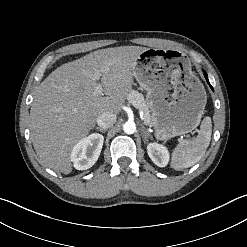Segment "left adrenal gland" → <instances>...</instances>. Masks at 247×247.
I'll use <instances>...</instances> for the list:
<instances>
[{"label": "left adrenal gland", "instance_id": "left-adrenal-gland-1", "mask_svg": "<svg viewBox=\"0 0 247 247\" xmlns=\"http://www.w3.org/2000/svg\"><path fill=\"white\" fill-rule=\"evenodd\" d=\"M142 137H143V141L144 143H146L148 141V138H152L151 134L145 129L144 126H142Z\"/></svg>", "mask_w": 247, "mask_h": 247}]
</instances>
